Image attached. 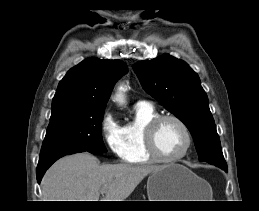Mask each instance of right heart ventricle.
<instances>
[{
    "label": "right heart ventricle",
    "mask_w": 259,
    "mask_h": 211,
    "mask_svg": "<svg viewBox=\"0 0 259 211\" xmlns=\"http://www.w3.org/2000/svg\"><path fill=\"white\" fill-rule=\"evenodd\" d=\"M156 109L147 103L135 106L134 117L121 127L123 140L122 159L132 164H146L153 162L147 153L144 143V128L156 116Z\"/></svg>",
    "instance_id": "right-heart-ventricle-1"
}]
</instances>
